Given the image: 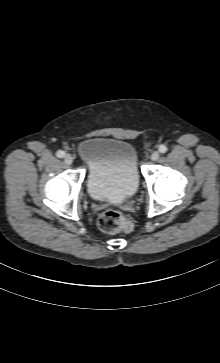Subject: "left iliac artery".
Returning a JSON list of instances; mask_svg holds the SVG:
<instances>
[{
  "instance_id": "obj_1",
  "label": "left iliac artery",
  "mask_w": 220,
  "mask_h": 363,
  "mask_svg": "<svg viewBox=\"0 0 220 363\" xmlns=\"http://www.w3.org/2000/svg\"><path fill=\"white\" fill-rule=\"evenodd\" d=\"M168 148L165 145H160L159 152L160 153H166Z\"/></svg>"
}]
</instances>
